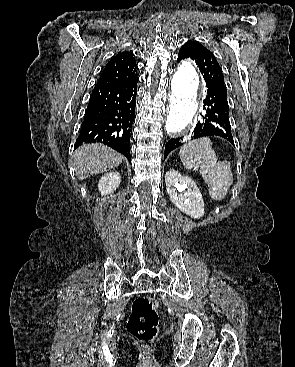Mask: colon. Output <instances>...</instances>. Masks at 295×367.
<instances>
[{
  "instance_id": "colon-1",
  "label": "colon",
  "mask_w": 295,
  "mask_h": 367,
  "mask_svg": "<svg viewBox=\"0 0 295 367\" xmlns=\"http://www.w3.org/2000/svg\"><path fill=\"white\" fill-rule=\"evenodd\" d=\"M158 301L151 296L137 297L127 321V331L142 343L150 344L158 334Z\"/></svg>"
}]
</instances>
